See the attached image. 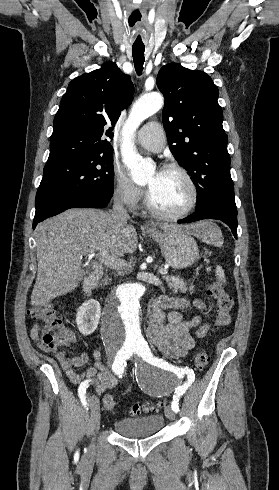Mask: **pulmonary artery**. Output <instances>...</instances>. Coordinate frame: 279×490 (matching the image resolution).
<instances>
[{
	"instance_id": "pulmonary-artery-1",
	"label": "pulmonary artery",
	"mask_w": 279,
	"mask_h": 490,
	"mask_svg": "<svg viewBox=\"0 0 279 490\" xmlns=\"http://www.w3.org/2000/svg\"><path fill=\"white\" fill-rule=\"evenodd\" d=\"M165 125L163 122H150L139 131L138 142L144 148L159 152L165 145Z\"/></svg>"
}]
</instances>
